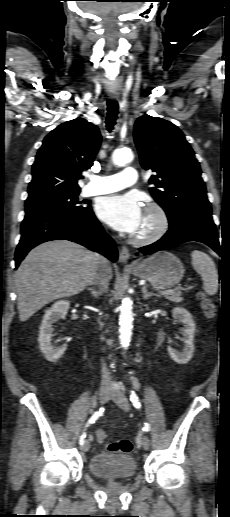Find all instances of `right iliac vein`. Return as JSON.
I'll return each instance as SVG.
<instances>
[{
    "mask_svg": "<svg viewBox=\"0 0 230 517\" xmlns=\"http://www.w3.org/2000/svg\"><path fill=\"white\" fill-rule=\"evenodd\" d=\"M110 395H111V389L108 386H103L99 392L100 404L103 405L104 403H106V401L108 400ZM89 448H90L89 441H85L84 444L82 445V450L84 452H87V451H89Z\"/></svg>",
    "mask_w": 230,
    "mask_h": 517,
    "instance_id": "1",
    "label": "right iliac vein"
}]
</instances>
